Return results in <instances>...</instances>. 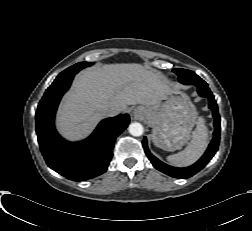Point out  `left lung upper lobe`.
<instances>
[{"mask_svg": "<svg viewBox=\"0 0 252 231\" xmlns=\"http://www.w3.org/2000/svg\"><path fill=\"white\" fill-rule=\"evenodd\" d=\"M173 72L177 74L178 80L183 83L187 84L188 81H191L193 79H199L200 77L196 75L194 72L182 68H175L173 69Z\"/></svg>", "mask_w": 252, "mask_h": 231, "instance_id": "left-lung-upper-lobe-1", "label": "left lung upper lobe"}]
</instances>
